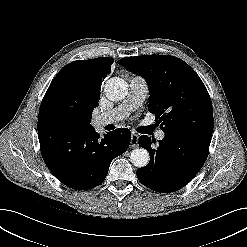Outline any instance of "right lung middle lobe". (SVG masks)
I'll return each instance as SVG.
<instances>
[{"mask_svg":"<svg viewBox=\"0 0 247 247\" xmlns=\"http://www.w3.org/2000/svg\"><path fill=\"white\" fill-rule=\"evenodd\" d=\"M75 69L64 66L51 82L41 104L38 123L58 129L82 131L92 107L74 86Z\"/></svg>","mask_w":247,"mask_h":247,"instance_id":"obj_1","label":"right lung middle lobe"}]
</instances>
